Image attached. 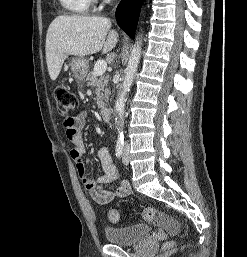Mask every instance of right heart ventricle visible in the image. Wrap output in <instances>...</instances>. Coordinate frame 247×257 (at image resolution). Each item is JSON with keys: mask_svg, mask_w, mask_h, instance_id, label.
<instances>
[{"mask_svg": "<svg viewBox=\"0 0 247 257\" xmlns=\"http://www.w3.org/2000/svg\"><path fill=\"white\" fill-rule=\"evenodd\" d=\"M61 5L73 14L85 15L89 12L94 0H59Z\"/></svg>", "mask_w": 247, "mask_h": 257, "instance_id": "e07e8e85", "label": "right heart ventricle"}]
</instances>
